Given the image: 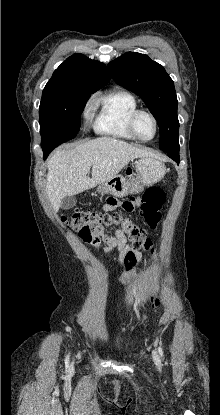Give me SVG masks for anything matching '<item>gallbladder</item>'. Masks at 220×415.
Instances as JSON below:
<instances>
[{
	"label": "gallbladder",
	"mask_w": 220,
	"mask_h": 415,
	"mask_svg": "<svg viewBox=\"0 0 220 415\" xmlns=\"http://www.w3.org/2000/svg\"><path fill=\"white\" fill-rule=\"evenodd\" d=\"M76 202L75 196H66L62 199L60 207L63 210H69L76 205Z\"/></svg>",
	"instance_id": "obj_1"
}]
</instances>
